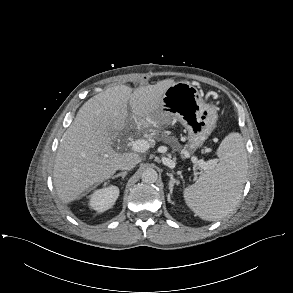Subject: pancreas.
I'll list each match as a JSON object with an SVG mask.
<instances>
[{
	"label": "pancreas",
	"instance_id": "1",
	"mask_svg": "<svg viewBox=\"0 0 293 293\" xmlns=\"http://www.w3.org/2000/svg\"><path fill=\"white\" fill-rule=\"evenodd\" d=\"M179 148H180L179 144H177L176 146H174V149H179Z\"/></svg>",
	"mask_w": 293,
	"mask_h": 293
}]
</instances>
